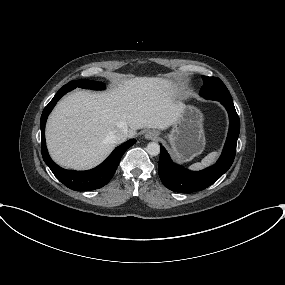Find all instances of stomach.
Segmentation results:
<instances>
[{
	"mask_svg": "<svg viewBox=\"0 0 285 285\" xmlns=\"http://www.w3.org/2000/svg\"><path fill=\"white\" fill-rule=\"evenodd\" d=\"M203 114L193 105H182L173 128L167 135L174 158L180 162L191 161L200 155L206 144Z\"/></svg>",
	"mask_w": 285,
	"mask_h": 285,
	"instance_id": "0dacf381",
	"label": "stomach"
}]
</instances>
